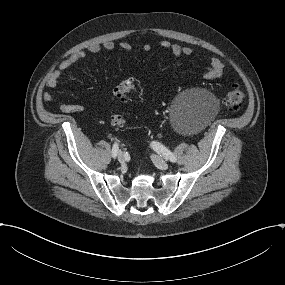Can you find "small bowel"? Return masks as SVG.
<instances>
[{"instance_id":"1","label":"small bowel","mask_w":285,"mask_h":285,"mask_svg":"<svg viewBox=\"0 0 285 285\" xmlns=\"http://www.w3.org/2000/svg\"><path fill=\"white\" fill-rule=\"evenodd\" d=\"M118 46L127 54H130L132 51L131 45L122 41L118 44ZM161 48L170 51L176 57H190L193 54V50L190 47L181 46L177 43H172L169 41H162L160 43ZM117 45L113 41H105L103 43H93L89 45L85 50H80L75 53H72L64 60L60 62L58 67L53 70L47 80L46 85L50 89H55L58 86L59 80L64 71L73 68L77 65L81 60H83L87 53L97 54L103 50L113 51L115 50ZM151 46L149 44H145L143 46V50L145 52L150 51ZM225 70V65L223 61L217 57H213L210 59L209 66L205 71L203 77L206 80H213L220 78ZM43 100L47 103L54 102V96L49 92H44ZM57 105L59 109L64 113H78L84 110L83 105L81 104H71L65 101L59 100L57 101Z\"/></svg>"}]
</instances>
